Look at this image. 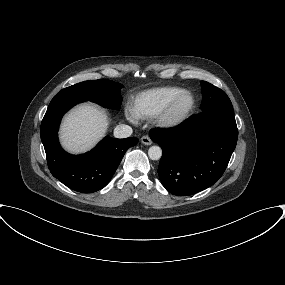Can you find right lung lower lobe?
Segmentation results:
<instances>
[{
  "label": "right lung lower lobe",
  "instance_id": "98d812e1",
  "mask_svg": "<svg viewBox=\"0 0 285 285\" xmlns=\"http://www.w3.org/2000/svg\"><path fill=\"white\" fill-rule=\"evenodd\" d=\"M80 102L71 95L56 94L42 120L40 136L51 174L74 191L92 193L109 183L125 152L138 139L105 137L88 153L68 154L59 144L58 128L64 113Z\"/></svg>",
  "mask_w": 285,
  "mask_h": 285
}]
</instances>
